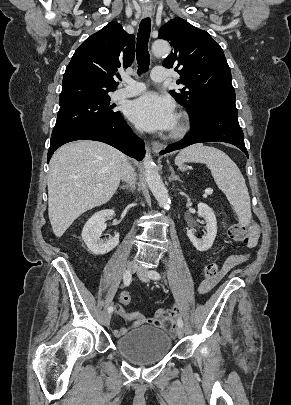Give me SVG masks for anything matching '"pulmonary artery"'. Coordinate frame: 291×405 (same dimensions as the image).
<instances>
[{
    "mask_svg": "<svg viewBox=\"0 0 291 405\" xmlns=\"http://www.w3.org/2000/svg\"><path fill=\"white\" fill-rule=\"evenodd\" d=\"M151 78L155 82H163L167 78V72L163 68H155L152 71ZM145 88L146 87L143 83L127 79L122 84L121 88L114 92L113 99L120 100L136 96L142 93Z\"/></svg>",
    "mask_w": 291,
    "mask_h": 405,
    "instance_id": "pulmonary-artery-1",
    "label": "pulmonary artery"
}]
</instances>
